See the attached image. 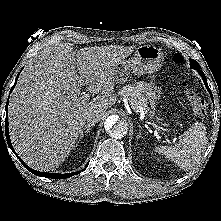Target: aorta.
I'll return each instance as SVG.
<instances>
[{"mask_svg":"<svg viewBox=\"0 0 221 221\" xmlns=\"http://www.w3.org/2000/svg\"><path fill=\"white\" fill-rule=\"evenodd\" d=\"M105 130L113 138H122L128 133V123L118 115H111L104 124Z\"/></svg>","mask_w":221,"mask_h":221,"instance_id":"1","label":"aorta"}]
</instances>
